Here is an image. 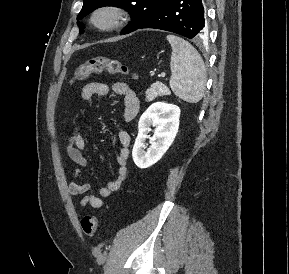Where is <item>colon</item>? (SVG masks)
<instances>
[{
  "label": "colon",
  "mask_w": 289,
  "mask_h": 274,
  "mask_svg": "<svg viewBox=\"0 0 289 274\" xmlns=\"http://www.w3.org/2000/svg\"><path fill=\"white\" fill-rule=\"evenodd\" d=\"M103 72L112 75H128L130 73L128 67L118 60L105 56H97L80 64L74 72L72 81L85 80L91 74ZM81 227L86 236L92 237L97 231L98 220L93 215H85L81 219Z\"/></svg>",
  "instance_id": "1"
}]
</instances>
